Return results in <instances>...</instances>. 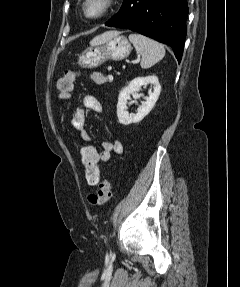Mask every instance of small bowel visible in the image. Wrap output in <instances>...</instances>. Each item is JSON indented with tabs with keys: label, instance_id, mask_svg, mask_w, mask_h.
Masks as SVG:
<instances>
[{
	"label": "small bowel",
	"instance_id": "c3829d8e",
	"mask_svg": "<svg viewBox=\"0 0 240 287\" xmlns=\"http://www.w3.org/2000/svg\"><path fill=\"white\" fill-rule=\"evenodd\" d=\"M84 108L93 112H101L102 104L93 95H85L83 98V108H77L70 118L71 126L80 133L83 141H90V134L86 129V115ZM102 150L98 152L99 161L108 162L111 160L112 153L121 154L123 145L119 140H105L101 144Z\"/></svg>",
	"mask_w": 240,
	"mask_h": 287
}]
</instances>
